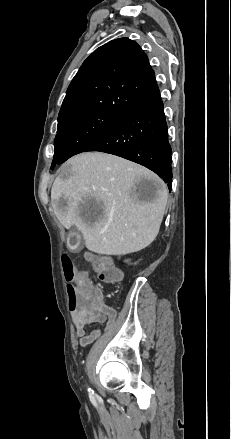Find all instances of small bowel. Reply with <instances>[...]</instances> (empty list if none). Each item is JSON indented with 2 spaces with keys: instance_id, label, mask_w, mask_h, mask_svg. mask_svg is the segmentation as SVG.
<instances>
[{
  "instance_id": "small-bowel-1",
  "label": "small bowel",
  "mask_w": 231,
  "mask_h": 439,
  "mask_svg": "<svg viewBox=\"0 0 231 439\" xmlns=\"http://www.w3.org/2000/svg\"><path fill=\"white\" fill-rule=\"evenodd\" d=\"M75 293H81L84 296L82 308L78 313H71L72 321L76 329V335L79 338L80 346L84 347L93 342L101 333V329L89 331L88 327L94 323H104L110 327L116 319L115 309L105 305L102 301V292L99 290L97 301L90 307H85V302H89L88 287L80 283L75 286Z\"/></svg>"
}]
</instances>
